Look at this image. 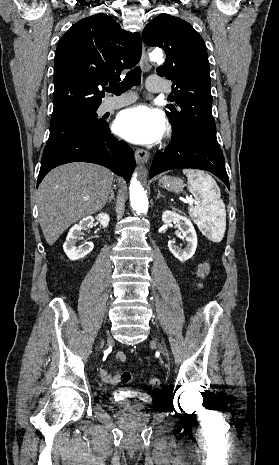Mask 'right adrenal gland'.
Listing matches in <instances>:
<instances>
[{
    "instance_id": "obj_1",
    "label": "right adrenal gland",
    "mask_w": 279,
    "mask_h": 465,
    "mask_svg": "<svg viewBox=\"0 0 279 465\" xmlns=\"http://www.w3.org/2000/svg\"><path fill=\"white\" fill-rule=\"evenodd\" d=\"M110 194L111 195H110L109 199L107 200V203H110L111 200H115L113 188H111Z\"/></svg>"
}]
</instances>
